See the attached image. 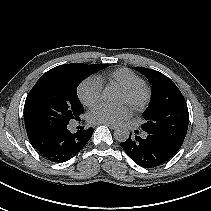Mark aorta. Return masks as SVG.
<instances>
[{
  "label": "aorta",
  "mask_w": 211,
  "mask_h": 211,
  "mask_svg": "<svg viewBox=\"0 0 211 211\" xmlns=\"http://www.w3.org/2000/svg\"><path fill=\"white\" fill-rule=\"evenodd\" d=\"M102 99L107 104L119 103V96L109 88H105L102 93ZM114 138L119 142H124L129 138V131L126 128H118L114 131Z\"/></svg>",
  "instance_id": "1"
}]
</instances>
